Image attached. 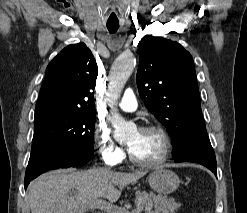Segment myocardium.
Wrapping results in <instances>:
<instances>
[{
	"label": "myocardium",
	"instance_id": "obj_1",
	"mask_svg": "<svg viewBox=\"0 0 247 213\" xmlns=\"http://www.w3.org/2000/svg\"><path fill=\"white\" fill-rule=\"evenodd\" d=\"M140 131H150L158 133L163 141V150L161 155L154 161L145 162L141 161L133 156V154L128 149V157L131 163L145 168H155L167 161L172 150V140L168 132L161 126L158 125H146L140 128Z\"/></svg>",
	"mask_w": 247,
	"mask_h": 213
}]
</instances>
